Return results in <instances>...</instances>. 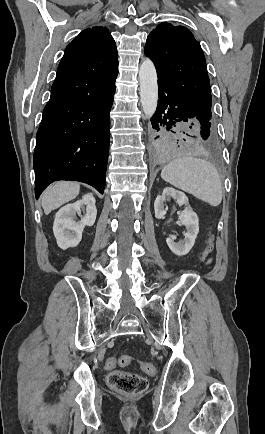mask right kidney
Returning a JSON list of instances; mask_svg holds the SVG:
<instances>
[{
    "label": "right kidney",
    "mask_w": 265,
    "mask_h": 434,
    "mask_svg": "<svg viewBox=\"0 0 265 434\" xmlns=\"http://www.w3.org/2000/svg\"><path fill=\"white\" fill-rule=\"evenodd\" d=\"M93 194H85L82 200L67 204L57 212L53 224V232L56 238L57 246L61 250L75 248L82 240V232L85 226H94L97 210ZM86 206V208H84ZM81 208L85 210V216H81ZM76 214L81 216V220L76 222Z\"/></svg>",
    "instance_id": "ca27d5eb"
}]
</instances>
